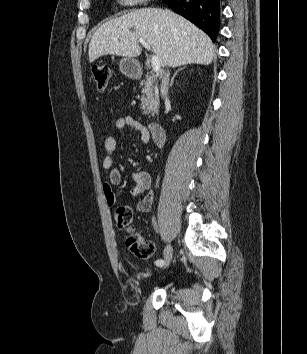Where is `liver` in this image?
Returning a JSON list of instances; mask_svg holds the SVG:
<instances>
[{"label": "liver", "mask_w": 307, "mask_h": 354, "mask_svg": "<svg viewBox=\"0 0 307 354\" xmlns=\"http://www.w3.org/2000/svg\"><path fill=\"white\" fill-rule=\"evenodd\" d=\"M139 38L152 47L163 67L209 65L215 55L208 35L187 19L168 9L142 8L101 25L89 43V61L102 55L137 57L142 52Z\"/></svg>", "instance_id": "liver-1"}]
</instances>
